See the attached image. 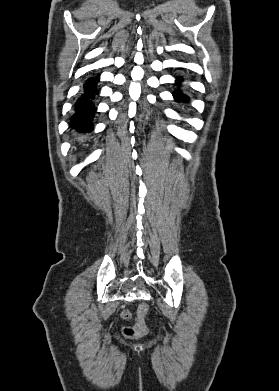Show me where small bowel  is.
I'll return each mask as SVG.
<instances>
[{"label": "small bowel", "instance_id": "c3829d8e", "mask_svg": "<svg viewBox=\"0 0 279 391\" xmlns=\"http://www.w3.org/2000/svg\"><path fill=\"white\" fill-rule=\"evenodd\" d=\"M122 317L125 319H129L131 317V315H130L129 311H124L122 314Z\"/></svg>", "mask_w": 279, "mask_h": 391}]
</instances>
